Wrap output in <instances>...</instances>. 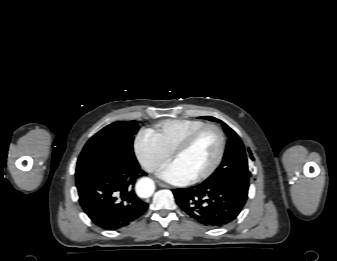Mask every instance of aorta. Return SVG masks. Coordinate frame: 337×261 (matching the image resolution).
Segmentation results:
<instances>
[{"mask_svg":"<svg viewBox=\"0 0 337 261\" xmlns=\"http://www.w3.org/2000/svg\"><path fill=\"white\" fill-rule=\"evenodd\" d=\"M155 190V184L152 179L144 177L136 183V192L142 198L150 197Z\"/></svg>","mask_w":337,"mask_h":261,"instance_id":"aorta-1","label":"aorta"}]
</instances>
